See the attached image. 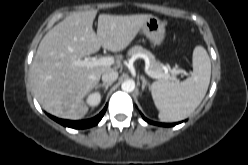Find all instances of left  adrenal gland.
<instances>
[{"label":"left adrenal gland","mask_w":248,"mask_h":165,"mask_svg":"<svg viewBox=\"0 0 248 165\" xmlns=\"http://www.w3.org/2000/svg\"><path fill=\"white\" fill-rule=\"evenodd\" d=\"M140 78H141V80H142V90H144V89H145V86H148L149 83H148V81L145 79L144 76H141Z\"/></svg>","instance_id":"a2214340"}]
</instances>
